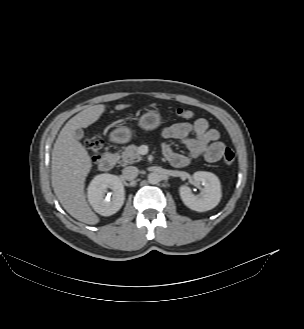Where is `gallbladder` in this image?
<instances>
[{
	"label": "gallbladder",
	"instance_id": "gallbladder-1",
	"mask_svg": "<svg viewBox=\"0 0 304 329\" xmlns=\"http://www.w3.org/2000/svg\"><path fill=\"white\" fill-rule=\"evenodd\" d=\"M84 137V132H83V130L82 129H77L76 131H75V138L77 139V140H81L82 138Z\"/></svg>",
	"mask_w": 304,
	"mask_h": 329
}]
</instances>
